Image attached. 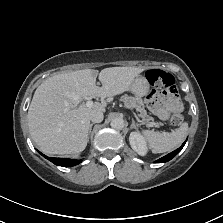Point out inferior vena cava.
Listing matches in <instances>:
<instances>
[{"instance_id":"inferior-vena-cava-1","label":"inferior vena cava","mask_w":223,"mask_h":223,"mask_svg":"<svg viewBox=\"0 0 223 223\" xmlns=\"http://www.w3.org/2000/svg\"><path fill=\"white\" fill-rule=\"evenodd\" d=\"M103 118H104L103 112L100 110H93L90 113V120L93 122L99 123L103 120Z\"/></svg>"}]
</instances>
